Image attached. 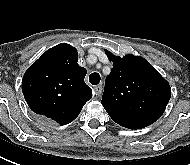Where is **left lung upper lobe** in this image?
<instances>
[{"label":"left lung upper lobe","instance_id":"left-lung-upper-lobe-1","mask_svg":"<svg viewBox=\"0 0 190 165\" xmlns=\"http://www.w3.org/2000/svg\"><path fill=\"white\" fill-rule=\"evenodd\" d=\"M106 54L113 68L106 78L101 103L109 116L129 129H141L157 121L171 97L169 83L142 57Z\"/></svg>","mask_w":190,"mask_h":165}]
</instances>
